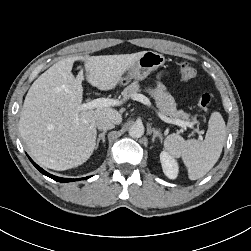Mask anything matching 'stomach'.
<instances>
[{"instance_id": "0dacf381", "label": "stomach", "mask_w": 251, "mask_h": 251, "mask_svg": "<svg viewBox=\"0 0 251 251\" xmlns=\"http://www.w3.org/2000/svg\"><path fill=\"white\" fill-rule=\"evenodd\" d=\"M165 63V57L154 51H145L144 54L126 72L127 76L122 77L121 84H126L130 79L143 80L152 71L157 70Z\"/></svg>"}]
</instances>
